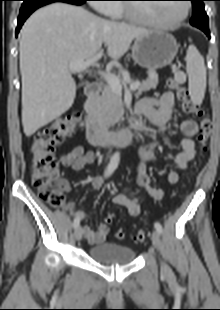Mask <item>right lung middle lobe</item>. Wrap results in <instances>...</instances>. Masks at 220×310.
Wrapping results in <instances>:
<instances>
[{
	"label": "right lung middle lobe",
	"mask_w": 220,
	"mask_h": 310,
	"mask_svg": "<svg viewBox=\"0 0 220 310\" xmlns=\"http://www.w3.org/2000/svg\"><path fill=\"white\" fill-rule=\"evenodd\" d=\"M24 2H31V1H34V0H23Z\"/></svg>",
	"instance_id": "obj_1"
}]
</instances>
